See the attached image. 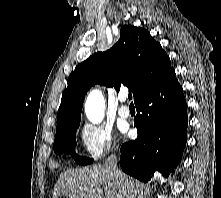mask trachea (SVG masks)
Here are the masks:
<instances>
[{
	"instance_id": "trachea-1",
	"label": "trachea",
	"mask_w": 221,
	"mask_h": 198,
	"mask_svg": "<svg viewBox=\"0 0 221 198\" xmlns=\"http://www.w3.org/2000/svg\"><path fill=\"white\" fill-rule=\"evenodd\" d=\"M128 98H129V99H131V98H132V95H131V93H129V95H128Z\"/></svg>"
}]
</instances>
